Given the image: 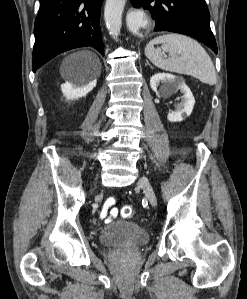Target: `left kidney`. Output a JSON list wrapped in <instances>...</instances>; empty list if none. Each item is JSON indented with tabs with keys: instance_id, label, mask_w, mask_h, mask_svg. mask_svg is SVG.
Here are the masks:
<instances>
[{
	"instance_id": "1",
	"label": "left kidney",
	"mask_w": 247,
	"mask_h": 299,
	"mask_svg": "<svg viewBox=\"0 0 247 299\" xmlns=\"http://www.w3.org/2000/svg\"><path fill=\"white\" fill-rule=\"evenodd\" d=\"M160 82L163 83V89L173 92L174 90H180L183 94L181 102L177 105L175 111L168 113V120L170 122H181L192 113L195 99L192 95L189 87L177 79L174 75L167 73H158L151 77L150 86L153 91L157 92Z\"/></svg>"
}]
</instances>
